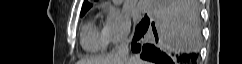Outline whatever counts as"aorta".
<instances>
[{
  "instance_id": "762f6f07",
  "label": "aorta",
  "mask_w": 242,
  "mask_h": 64,
  "mask_svg": "<svg viewBox=\"0 0 242 64\" xmlns=\"http://www.w3.org/2000/svg\"><path fill=\"white\" fill-rule=\"evenodd\" d=\"M113 4L118 6L122 3V0H112Z\"/></svg>"
}]
</instances>
